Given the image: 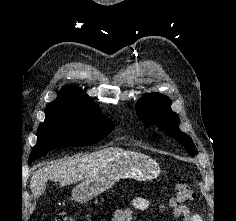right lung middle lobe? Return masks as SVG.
<instances>
[{
    "instance_id": "right-lung-middle-lobe-1",
    "label": "right lung middle lobe",
    "mask_w": 236,
    "mask_h": 221,
    "mask_svg": "<svg viewBox=\"0 0 236 221\" xmlns=\"http://www.w3.org/2000/svg\"><path fill=\"white\" fill-rule=\"evenodd\" d=\"M46 119L37 130L29 164L36 158L62 146H87L106 137L115 124L97 110H80L66 106H47Z\"/></svg>"
}]
</instances>
